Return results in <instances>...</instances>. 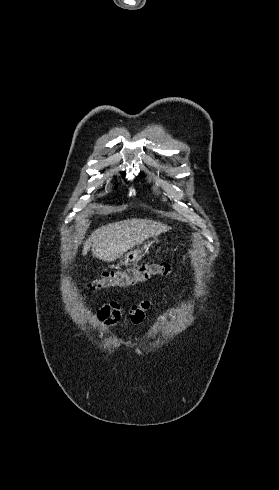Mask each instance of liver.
Listing matches in <instances>:
<instances>
[{
	"instance_id": "1",
	"label": "liver",
	"mask_w": 279,
	"mask_h": 490,
	"mask_svg": "<svg viewBox=\"0 0 279 490\" xmlns=\"http://www.w3.org/2000/svg\"><path fill=\"white\" fill-rule=\"evenodd\" d=\"M170 230L169 226L153 220H123L115 224L101 226L85 240L82 254L91 250L93 256L102 262H115L127 250L140 246L145 240L160 236Z\"/></svg>"
}]
</instances>
